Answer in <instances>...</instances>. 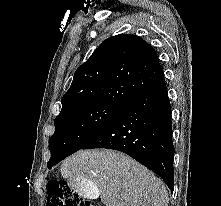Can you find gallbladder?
<instances>
[{"label":"gallbladder","instance_id":"1","mask_svg":"<svg viewBox=\"0 0 221 206\" xmlns=\"http://www.w3.org/2000/svg\"><path fill=\"white\" fill-rule=\"evenodd\" d=\"M74 194H79V198H89L90 202L94 201V198H98L99 189H96V185H93L92 181H75L69 180Z\"/></svg>","mask_w":221,"mask_h":206}]
</instances>
